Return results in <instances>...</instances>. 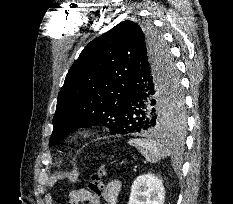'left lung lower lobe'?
I'll return each mask as SVG.
<instances>
[{"label":"left lung lower lobe","instance_id":"left-lung-lower-lobe-1","mask_svg":"<svg viewBox=\"0 0 233 204\" xmlns=\"http://www.w3.org/2000/svg\"><path fill=\"white\" fill-rule=\"evenodd\" d=\"M164 53L150 54L140 49L133 62L127 90L120 102L117 124L122 135L160 131L158 105L168 89L179 83L177 71L169 74ZM181 127L175 130L180 132Z\"/></svg>","mask_w":233,"mask_h":204}]
</instances>
